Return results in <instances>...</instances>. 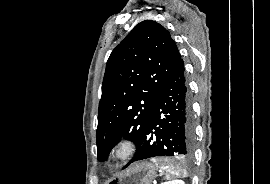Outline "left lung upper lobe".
<instances>
[{
	"instance_id": "1",
	"label": "left lung upper lobe",
	"mask_w": 270,
	"mask_h": 184,
	"mask_svg": "<svg viewBox=\"0 0 270 184\" xmlns=\"http://www.w3.org/2000/svg\"><path fill=\"white\" fill-rule=\"evenodd\" d=\"M181 55L159 23H139L112 51L106 65L96 132L97 157L107 159L121 136L137 148L155 101Z\"/></svg>"
}]
</instances>
